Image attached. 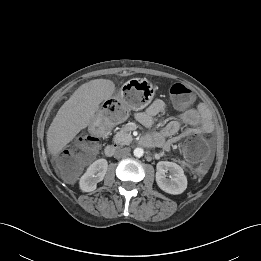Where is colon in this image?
I'll return each instance as SVG.
<instances>
[{
	"label": "colon",
	"instance_id": "obj_1",
	"mask_svg": "<svg viewBox=\"0 0 261 261\" xmlns=\"http://www.w3.org/2000/svg\"><path fill=\"white\" fill-rule=\"evenodd\" d=\"M170 93L178 106L185 107L193 101L191 90L181 83L172 85ZM108 116V121L103 122L94 132L81 137L73 148L58 157L57 167L65 179H75L85 162L95 155L100 138L108 132V124L123 119V114L118 110H109ZM184 149L189 157L196 159L204 155L205 145L198 137H193L185 144Z\"/></svg>",
	"mask_w": 261,
	"mask_h": 261
}]
</instances>
